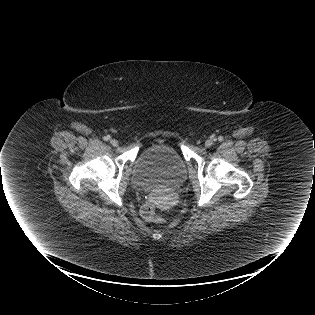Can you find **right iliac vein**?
Instances as JSON below:
<instances>
[{
    "mask_svg": "<svg viewBox=\"0 0 315 315\" xmlns=\"http://www.w3.org/2000/svg\"><path fill=\"white\" fill-rule=\"evenodd\" d=\"M111 145L117 147L118 146V141L116 139H111L110 140Z\"/></svg>",
    "mask_w": 315,
    "mask_h": 315,
    "instance_id": "1",
    "label": "right iliac vein"
}]
</instances>
